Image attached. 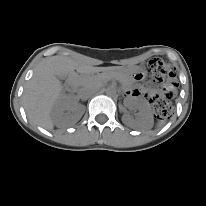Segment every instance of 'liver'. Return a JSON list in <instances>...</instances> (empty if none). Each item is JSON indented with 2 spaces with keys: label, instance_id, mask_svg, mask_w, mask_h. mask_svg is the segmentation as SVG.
<instances>
[{
  "label": "liver",
  "instance_id": "6515ba94",
  "mask_svg": "<svg viewBox=\"0 0 206 206\" xmlns=\"http://www.w3.org/2000/svg\"><path fill=\"white\" fill-rule=\"evenodd\" d=\"M90 69V66L63 55L52 56L40 62L24 90L23 98L28 118L42 126L63 127L75 124L83 112L72 108L76 113L59 114L65 108L60 103L63 85L57 76L74 73V70L88 72Z\"/></svg>",
  "mask_w": 206,
  "mask_h": 206
}]
</instances>
